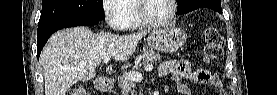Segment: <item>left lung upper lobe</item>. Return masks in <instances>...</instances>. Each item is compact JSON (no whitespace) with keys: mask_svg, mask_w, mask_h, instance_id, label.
I'll return each mask as SVG.
<instances>
[{"mask_svg":"<svg viewBox=\"0 0 277 95\" xmlns=\"http://www.w3.org/2000/svg\"><path fill=\"white\" fill-rule=\"evenodd\" d=\"M177 14H185L198 8H210L222 13L221 0H177Z\"/></svg>","mask_w":277,"mask_h":95,"instance_id":"left-lung-upper-lobe-1","label":"left lung upper lobe"}]
</instances>
